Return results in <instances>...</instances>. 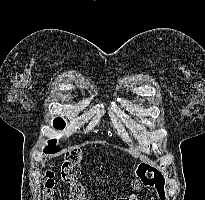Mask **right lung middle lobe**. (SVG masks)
<instances>
[{
    "label": "right lung middle lobe",
    "mask_w": 205,
    "mask_h": 200,
    "mask_svg": "<svg viewBox=\"0 0 205 200\" xmlns=\"http://www.w3.org/2000/svg\"><path fill=\"white\" fill-rule=\"evenodd\" d=\"M54 127L57 128V129H63L65 127V122L62 118H57L54 120V123H53ZM61 148L59 146H56V140H51L49 141V146H47L44 151L49 153V152H52V153H55L57 151H59Z\"/></svg>",
    "instance_id": "1"
}]
</instances>
